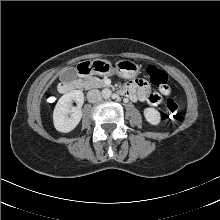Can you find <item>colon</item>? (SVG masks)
Wrapping results in <instances>:
<instances>
[{"mask_svg":"<svg viewBox=\"0 0 220 220\" xmlns=\"http://www.w3.org/2000/svg\"><path fill=\"white\" fill-rule=\"evenodd\" d=\"M146 72L153 85L160 87L166 84V73L155 65H149L146 69ZM165 114L167 119L172 122L179 120V106L173 99H168L166 101Z\"/></svg>","mask_w":220,"mask_h":220,"instance_id":"5ec220e1","label":"colon"}]
</instances>
